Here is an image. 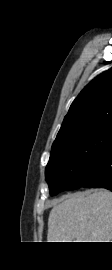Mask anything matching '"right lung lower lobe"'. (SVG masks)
<instances>
[{
  "mask_svg": "<svg viewBox=\"0 0 112 270\" xmlns=\"http://www.w3.org/2000/svg\"><path fill=\"white\" fill-rule=\"evenodd\" d=\"M81 186L112 191V143L99 158L91 162Z\"/></svg>",
  "mask_w": 112,
  "mask_h": 270,
  "instance_id": "98d812e1",
  "label": "right lung lower lobe"
}]
</instances>
